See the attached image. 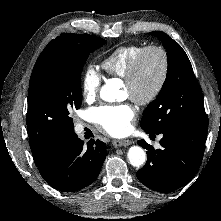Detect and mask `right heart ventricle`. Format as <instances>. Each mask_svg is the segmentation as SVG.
I'll return each instance as SVG.
<instances>
[{
  "mask_svg": "<svg viewBox=\"0 0 221 221\" xmlns=\"http://www.w3.org/2000/svg\"><path fill=\"white\" fill-rule=\"evenodd\" d=\"M143 48L137 44L120 46L103 58L101 66L108 75L124 78L131 63Z\"/></svg>",
  "mask_w": 221,
  "mask_h": 221,
  "instance_id": "1",
  "label": "right heart ventricle"
}]
</instances>
